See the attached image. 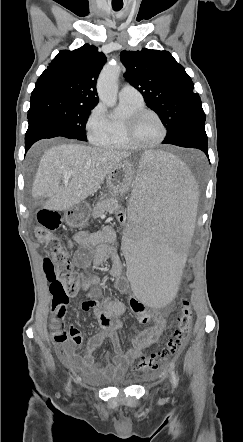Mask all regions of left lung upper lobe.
<instances>
[{"label":"left lung upper lobe","mask_w":243,"mask_h":442,"mask_svg":"<svg viewBox=\"0 0 243 442\" xmlns=\"http://www.w3.org/2000/svg\"><path fill=\"white\" fill-rule=\"evenodd\" d=\"M125 77L144 97L149 108L167 129V144L189 124L205 120V113L194 84L182 65L168 51H122Z\"/></svg>","instance_id":"1"}]
</instances>
